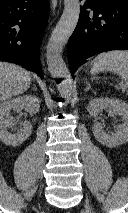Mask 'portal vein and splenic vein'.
I'll return each instance as SVG.
<instances>
[{
  "mask_svg": "<svg viewBox=\"0 0 128 213\" xmlns=\"http://www.w3.org/2000/svg\"><path fill=\"white\" fill-rule=\"evenodd\" d=\"M128 85L122 86L120 87L122 89V91H125L127 89Z\"/></svg>",
  "mask_w": 128,
  "mask_h": 213,
  "instance_id": "obj_1",
  "label": "portal vein and splenic vein"
}]
</instances>
